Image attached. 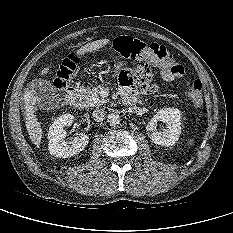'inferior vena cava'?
Listing matches in <instances>:
<instances>
[{
	"label": "inferior vena cava",
	"instance_id": "602c4592",
	"mask_svg": "<svg viewBox=\"0 0 233 233\" xmlns=\"http://www.w3.org/2000/svg\"><path fill=\"white\" fill-rule=\"evenodd\" d=\"M93 117L95 121L102 122L106 117L105 111L103 109H96L93 112Z\"/></svg>",
	"mask_w": 233,
	"mask_h": 233
}]
</instances>
